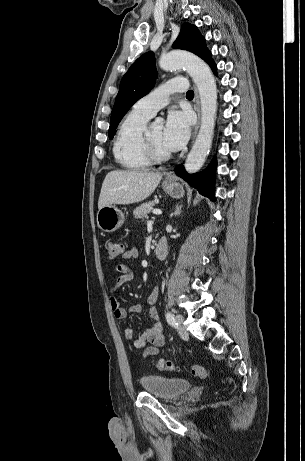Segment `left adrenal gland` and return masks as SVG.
I'll return each mask as SVG.
<instances>
[{"label":"left adrenal gland","instance_id":"obj_1","mask_svg":"<svg viewBox=\"0 0 305 461\" xmlns=\"http://www.w3.org/2000/svg\"><path fill=\"white\" fill-rule=\"evenodd\" d=\"M181 207H182V206H178V207H177V210H176L175 213H174L175 216H179V215L181 214Z\"/></svg>","mask_w":305,"mask_h":461}]
</instances>
